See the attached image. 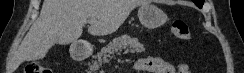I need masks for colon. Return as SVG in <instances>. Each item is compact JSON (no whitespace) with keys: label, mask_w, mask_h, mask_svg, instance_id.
<instances>
[{"label":"colon","mask_w":244,"mask_h":73,"mask_svg":"<svg viewBox=\"0 0 244 73\" xmlns=\"http://www.w3.org/2000/svg\"><path fill=\"white\" fill-rule=\"evenodd\" d=\"M171 34L174 38L181 41L191 39L189 25L183 20H174L171 23ZM24 73H51V69L40 62H33L25 67Z\"/></svg>","instance_id":"5ec220e1"}]
</instances>
